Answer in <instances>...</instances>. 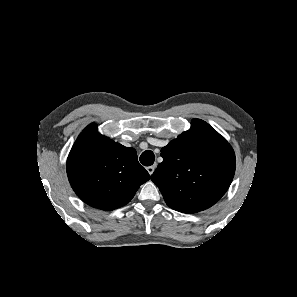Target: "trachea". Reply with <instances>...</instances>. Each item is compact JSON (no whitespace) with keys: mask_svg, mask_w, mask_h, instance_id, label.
<instances>
[{"mask_svg":"<svg viewBox=\"0 0 297 297\" xmlns=\"http://www.w3.org/2000/svg\"><path fill=\"white\" fill-rule=\"evenodd\" d=\"M155 161V155L151 150L144 151L140 156V162L144 166H151Z\"/></svg>","mask_w":297,"mask_h":297,"instance_id":"obj_1","label":"trachea"}]
</instances>
